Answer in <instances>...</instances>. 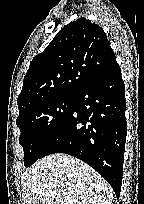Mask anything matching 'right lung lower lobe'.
I'll return each instance as SVG.
<instances>
[{"instance_id":"1","label":"right lung lower lobe","mask_w":144,"mask_h":204,"mask_svg":"<svg viewBox=\"0 0 144 204\" xmlns=\"http://www.w3.org/2000/svg\"><path fill=\"white\" fill-rule=\"evenodd\" d=\"M125 89L117 63L76 96L72 111L46 145L43 157L66 153L94 168L119 198L126 142Z\"/></svg>"}]
</instances>
